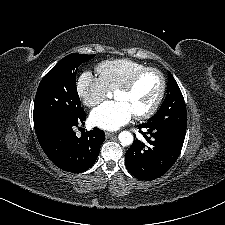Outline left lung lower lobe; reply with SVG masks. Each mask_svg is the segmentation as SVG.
I'll use <instances>...</instances> for the list:
<instances>
[{"instance_id":"left-lung-lower-lobe-1","label":"left lung lower lobe","mask_w":225,"mask_h":225,"mask_svg":"<svg viewBox=\"0 0 225 225\" xmlns=\"http://www.w3.org/2000/svg\"><path fill=\"white\" fill-rule=\"evenodd\" d=\"M137 127L148 144L134 140L125 154L126 167L139 180L151 181L164 175L175 163L184 143L186 129L152 123Z\"/></svg>"}]
</instances>
